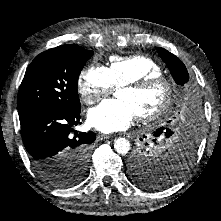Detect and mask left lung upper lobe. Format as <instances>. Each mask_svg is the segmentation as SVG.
Returning a JSON list of instances; mask_svg holds the SVG:
<instances>
[{
	"label": "left lung upper lobe",
	"mask_w": 221,
	"mask_h": 221,
	"mask_svg": "<svg viewBox=\"0 0 221 221\" xmlns=\"http://www.w3.org/2000/svg\"><path fill=\"white\" fill-rule=\"evenodd\" d=\"M158 54L168 66L175 82L182 86L187 83L189 75L183 62L163 48H158ZM157 131L154 136L162 137L155 134ZM187 165L188 162L181 160L178 152L154 157L149 151L141 150L135 152L130 159V173L132 180L141 187L161 189L175 182L179 178L178 173H182Z\"/></svg>",
	"instance_id": "obj_1"
}]
</instances>
